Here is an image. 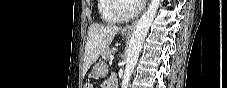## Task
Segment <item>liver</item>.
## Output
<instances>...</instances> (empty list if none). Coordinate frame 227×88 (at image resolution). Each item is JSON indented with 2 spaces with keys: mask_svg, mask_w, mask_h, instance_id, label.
I'll return each instance as SVG.
<instances>
[{
  "mask_svg": "<svg viewBox=\"0 0 227 88\" xmlns=\"http://www.w3.org/2000/svg\"><path fill=\"white\" fill-rule=\"evenodd\" d=\"M120 29V27L114 25L105 26L98 23H93L89 27L84 53V68L86 70H88L90 66L98 60L103 51L109 47Z\"/></svg>",
  "mask_w": 227,
  "mask_h": 88,
  "instance_id": "obj_1",
  "label": "liver"
}]
</instances>
